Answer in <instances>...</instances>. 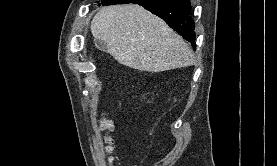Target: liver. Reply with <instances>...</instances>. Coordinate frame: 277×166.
I'll return each instance as SVG.
<instances>
[{
  "label": "liver",
  "mask_w": 277,
  "mask_h": 166,
  "mask_svg": "<svg viewBox=\"0 0 277 166\" xmlns=\"http://www.w3.org/2000/svg\"><path fill=\"white\" fill-rule=\"evenodd\" d=\"M91 33L116 61L130 68L161 72L194 64L184 39L136 4L101 8L91 21Z\"/></svg>",
  "instance_id": "1"
}]
</instances>
